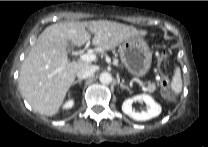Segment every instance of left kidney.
<instances>
[{"mask_svg": "<svg viewBox=\"0 0 208 147\" xmlns=\"http://www.w3.org/2000/svg\"><path fill=\"white\" fill-rule=\"evenodd\" d=\"M134 101L144 102L147 109L145 111L135 112V110L132 109V103ZM122 111L134 120L146 121L158 116L161 112V107L149 95L141 94L126 99L122 104Z\"/></svg>", "mask_w": 208, "mask_h": 147, "instance_id": "5707ae66", "label": "left kidney"}]
</instances>
